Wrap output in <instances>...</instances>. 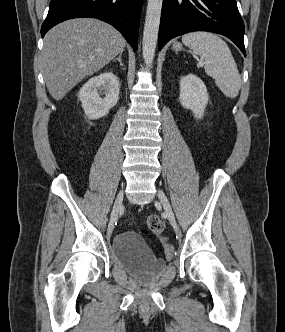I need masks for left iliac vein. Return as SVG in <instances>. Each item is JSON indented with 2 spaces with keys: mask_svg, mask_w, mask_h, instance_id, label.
<instances>
[{
  "mask_svg": "<svg viewBox=\"0 0 285 332\" xmlns=\"http://www.w3.org/2000/svg\"><path fill=\"white\" fill-rule=\"evenodd\" d=\"M157 195H158L160 203L162 204V207L164 209V212H165L170 224L173 226L174 230L177 231L178 230L177 222L175 220V216H174L172 207H171L166 195L164 194V192L162 190H158Z\"/></svg>",
  "mask_w": 285,
  "mask_h": 332,
  "instance_id": "1",
  "label": "left iliac vein"
}]
</instances>
